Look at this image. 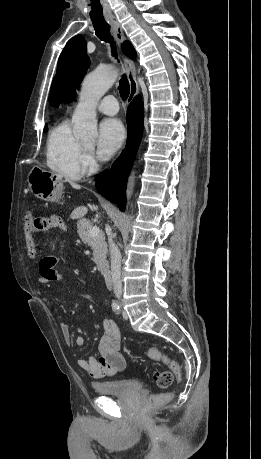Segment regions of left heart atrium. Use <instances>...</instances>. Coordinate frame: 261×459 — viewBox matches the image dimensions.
<instances>
[{"label": "left heart atrium", "mask_w": 261, "mask_h": 459, "mask_svg": "<svg viewBox=\"0 0 261 459\" xmlns=\"http://www.w3.org/2000/svg\"><path fill=\"white\" fill-rule=\"evenodd\" d=\"M125 139V130L118 119H106L99 126L97 140L98 156L102 160L110 159L121 147Z\"/></svg>", "instance_id": "39dd6f15"}]
</instances>
